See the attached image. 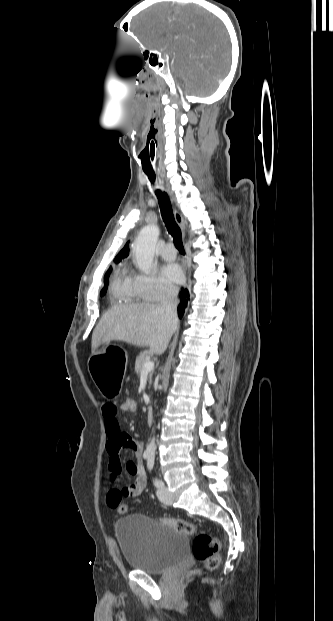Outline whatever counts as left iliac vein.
<instances>
[{"mask_svg":"<svg viewBox=\"0 0 333 621\" xmlns=\"http://www.w3.org/2000/svg\"><path fill=\"white\" fill-rule=\"evenodd\" d=\"M157 496L163 504L165 505L172 504V498L166 486L163 485L162 487H159L157 491Z\"/></svg>","mask_w":333,"mask_h":621,"instance_id":"1","label":"left iliac vein"}]
</instances>
